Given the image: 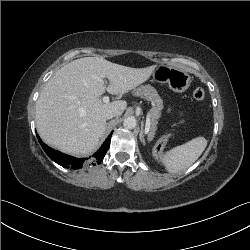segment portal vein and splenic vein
I'll return each instance as SVG.
<instances>
[{
  "mask_svg": "<svg viewBox=\"0 0 250 250\" xmlns=\"http://www.w3.org/2000/svg\"><path fill=\"white\" fill-rule=\"evenodd\" d=\"M102 100H103L104 103H108L109 102V97L104 96ZM150 125H151L150 114H148L147 119H146V129H147V131H149Z\"/></svg>",
  "mask_w": 250,
  "mask_h": 250,
  "instance_id": "18ae733b",
  "label": "portal vein and splenic vein"
}]
</instances>
